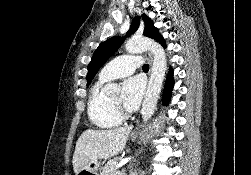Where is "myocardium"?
I'll list each match as a JSON object with an SVG mask.
<instances>
[{"instance_id": "myocardium-1", "label": "myocardium", "mask_w": 251, "mask_h": 175, "mask_svg": "<svg viewBox=\"0 0 251 175\" xmlns=\"http://www.w3.org/2000/svg\"><path fill=\"white\" fill-rule=\"evenodd\" d=\"M110 105H111V107H112L113 110H116V109H117V108L114 107L111 103H110Z\"/></svg>"}]
</instances>
